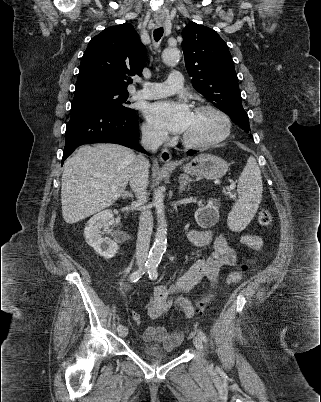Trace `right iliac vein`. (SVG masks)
Instances as JSON below:
<instances>
[{
	"label": "right iliac vein",
	"instance_id": "63e3f726",
	"mask_svg": "<svg viewBox=\"0 0 321 402\" xmlns=\"http://www.w3.org/2000/svg\"><path fill=\"white\" fill-rule=\"evenodd\" d=\"M127 334H128V329H127L126 327L122 328V330H121L120 333H119V335H120L121 337H123V338L126 337Z\"/></svg>",
	"mask_w": 321,
	"mask_h": 402
}]
</instances>
